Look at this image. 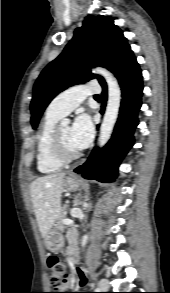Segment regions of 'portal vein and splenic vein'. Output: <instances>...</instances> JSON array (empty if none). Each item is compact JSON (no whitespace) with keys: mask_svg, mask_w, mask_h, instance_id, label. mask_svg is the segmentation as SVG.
Wrapping results in <instances>:
<instances>
[{"mask_svg":"<svg viewBox=\"0 0 170 293\" xmlns=\"http://www.w3.org/2000/svg\"><path fill=\"white\" fill-rule=\"evenodd\" d=\"M73 223H74V221L71 220V219H64L63 220V224H65V225H70V224H73Z\"/></svg>","mask_w":170,"mask_h":293,"instance_id":"obj_1","label":"portal vein and splenic vein"}]
</instances>
